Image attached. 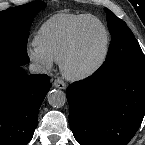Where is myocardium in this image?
I'll return each instance as SVG.
<instances>
[{"mask_svg":"<svg viewBox=\"0 0 145 145\" xmlns=\"http://www.w3.org/2000/svg\"><path fill=\"white\" fill-rule=\"evenodd\" d=\"M90 21L96 22L103 30L104 41H103L102 51L100 55L89 65L83 67H77L75 65V61L78 57V54L80 52L83 43L82 32L85 26ZM109 45H110V36L105 24L100 19L94 16L85 19L77 26L75 30L73 42L69 47L68 51L66 52V54L64 55V57L62 58V60L60 61V68L62 74L70 80H83L92 76L105 63L109 53Z\"/></svg>","mask_w":145,"mask_h":145,"instance_id":"1","label":"myocardium"}]
</instances>
